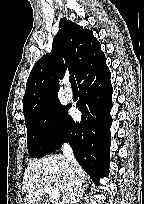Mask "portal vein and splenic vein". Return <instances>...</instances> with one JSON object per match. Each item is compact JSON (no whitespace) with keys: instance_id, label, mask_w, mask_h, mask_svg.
Masks as SVG:
<instances>
[{"instance_id":"obj_1","label":"portal vein and splenic vein","mask_w":144,"mask_h":204,"mask_svg":"<svg viewBox=\"0 0 144 204\" xmlns=\"http://www.w3.org/2000/svg\"><path fill=\"white\" fill-rule=\"evenodd\" d=\"M44 190L45 192H47L49 194V196L52 198V199H58L59 196H60V191L58 188H54L50 185H45L44 186Z\"/></svg>"}]
</instances>
